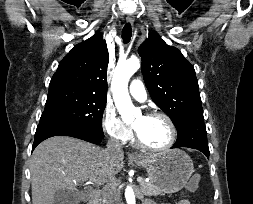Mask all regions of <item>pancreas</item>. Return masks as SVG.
<instances>
[{"instance_id": "pancreas-1", "label": "pancreas", "mask_w": 253, "mask_h": 204, "mask_svg": "<svg viewBox=\"0 0 253 204\" xmlns=\"http://www.w3.org/2000/svg\"><path fill=\"white\" fill-rule=\"evenodd\" d=\"M140 189L147 196L162 194V192L151 182L143 181L140 183Z\"/></svg>"}]
</instances>
